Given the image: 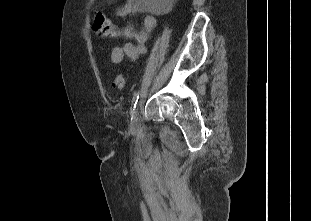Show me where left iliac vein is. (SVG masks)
<instances>
[{"instance_id":"1","label":"left iliac vein","mask_w":311,"mask_h":221,"mask_svg":"<svg viewBox=\"0 0 311 221\" xmlns=\"http://www.w3.org/2000/svg\"><path fill=\"white\" fill-rule=\"evenodd\" d=\"M139 127V113L138 110L136 109L133 113V119L131 120L130 123V129L132 131H136Z\"/></svg>"}]
</instances>
